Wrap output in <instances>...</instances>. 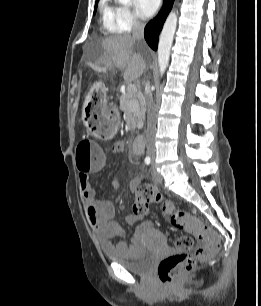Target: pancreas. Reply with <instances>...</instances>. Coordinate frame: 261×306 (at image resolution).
<instances>
[{
  "instance_id": "1",
  "label": "pancreas",
  "mask_w": 261,
  "mask_h": 306,
  "mask_svg": "<svg viewBox=\"0 0 261 306\" xmlns=\"http://www.w3.org/2000/svg\"><path fill=\"white\" fill-rule=\"evenodd\" d=\"M120 110L134 119L136 127L142 126L145 119L146 102L140 90H126L120 97Z\"/></svg>"
}]
</instances>
